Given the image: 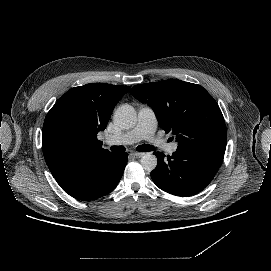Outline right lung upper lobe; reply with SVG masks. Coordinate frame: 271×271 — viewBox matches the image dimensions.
Here are the masks:
<instances>
[{"mask_svg": "<svg viewBox=\"0 0 271 271\" xmlns=\"http://www.w3.org/2000/svg\"><path fill=\"white\" fill-rule=\"evenodd\" d=\"M130 87L91 83L67 91L46 115L42 149L52 175L85 156L111 154L97 133Z\"/></svg>", "mask_w": 271, "mask_h": 271, "instance_id": "1", "label": "right lung upper lobe"}]
</instances>
